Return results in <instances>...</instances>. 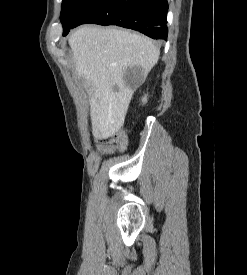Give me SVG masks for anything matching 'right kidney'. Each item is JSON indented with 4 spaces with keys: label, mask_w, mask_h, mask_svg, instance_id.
Returning a JSON list of instances; mask_svg holds the SVG:
<instances>
[{
    "label": "right kidney",
    "mask_w": 247,
    "mask_h": 275,
    "mask_svg": "<svg viewBox=\"0 0 247 275\" xmlns=\"http://www.w3.org/2000/svg\"><path fill=\"white\" fill-rule=\"evenodd\" d=\"M143 102H146L147 101V99H146V96L143 98V100H142Z\"/></svg>",
    "instance_id": "obj_1"
}]
</instances>
